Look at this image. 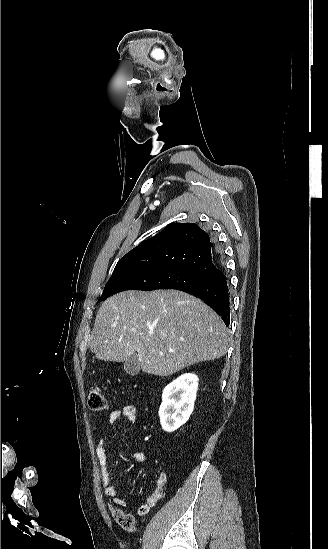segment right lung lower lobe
Wrapping results in <instances>:
<instances>
[{
	"label": "right lung lower lobe",
	"instance_id": "right-lung-lower-lobe-1",
	"mask_svg": "<svg viewBox=\"0 0 328 549\" xmlns=\"http://www.w3.org/2000/svg\"><path fill=\"white\" fill-rule=\"evenodd\" d=\"M217 254L221 260L220 253L218 251ZM181 290L204 300L207 305H209L219 316H221L226 326L230 324V296L228 281L222 270L221 273L215 278H210L203 282L184 287Z\"/></svg>",
	"mask_w": 328,
	"mask_h": 549
}]
</instances>
